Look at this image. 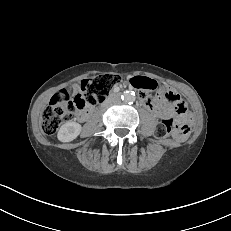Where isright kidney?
I'll return each instance as SVG.
<instances>
[{
    "instance_id": "1",
    "label": "right kidney",
    "mask_w": 231,
    "mask_h": 231,
    "mask_svg": "<svg viewBox=\"0 0 231 231\" xmlns=\"http://www.w3.org/2000/svg\"><path fill=\"white\" fill-rule=\"evenodd\" d=\"M81 125L76 122H65L58 131V139L62 142H70L77 138L81 132Z\"/></svg>"
}]
</instances>
